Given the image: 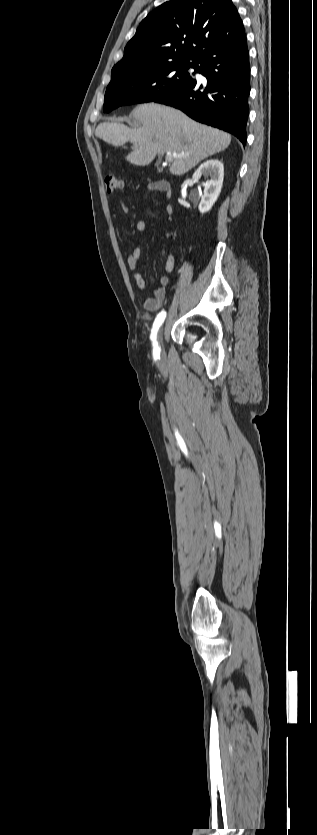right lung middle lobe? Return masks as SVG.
Listing matches in <instances>:
<instances>
[{
  "instance_id": "right-lung-middle-lobe-1",
  "label": "right lung middle lobe",
  "mask_w": 317,
  "mask_h": 835,
  "mask_svg": "<svg viewBox=\"0 0 317 835\" xmlns=\"http://www.w3.org/2000/svg\"><path fill=\"white\" fill-rule=\"evenodd\" d=\"M198 62H179L153 66L139 71L112 72L107 86L104 112L121 105L151 102L167 92L193 80L188 73Z\"/></svg>"
}]
</instances>
